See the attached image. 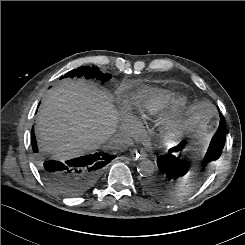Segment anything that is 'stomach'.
Here are the masks:
<instances>
[{
  "instance_id": "obj_1",
  "label": "stomach",
  "mask_w": 245,
  "mask_h": 245,
  "mask_svg": "<svg viewBox=\"0 0 245 245\" xmlns=\"http://www.w3.org/2000/svg\"><path fill=\"white\" fill-rule=\"evenodd\" d=\"M214 127L213 112L210 107H205L193 116L186 128L194 132V136L203 143L210 137Z\"/></svg>"
}]
</instances>
